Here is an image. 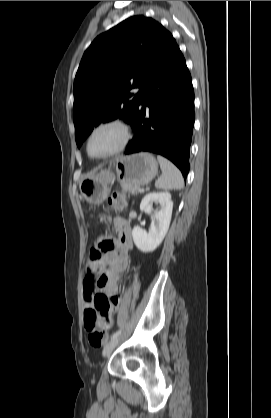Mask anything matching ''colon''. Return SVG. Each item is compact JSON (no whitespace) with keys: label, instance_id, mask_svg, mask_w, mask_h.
Instances as JSON below:
<instances>
[{"label":"colon","instance_id":"1","mask_svg":"<svg viewBox=\"0 0 271 418\" xmlns=\"http://www.w3.org/2000/svg\"><path fill=\"white\" fill-rule=\"evenodd\" d=\"M109 204L114 209H121L125 204V197L122 193H114ZM114 249V244L108 239H103L98 246L91 251V260L100 261L102 254ZM108 306V299L102 294H97L94 300V308L85 312L84 324L87 330L88 341L92 347H100L105 341V326L101 320L100 311Z\"/></svg>","mask_w":271,"mask_h":418}]
</instances>
